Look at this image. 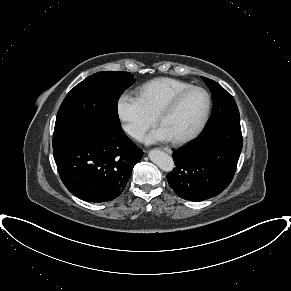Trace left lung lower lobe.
<instances>
[{"instance_id": "left-lung-lower-lobe-1", "label": "left lung lower lobe", "mask_w": 291, "mask_h": 291, "mask_svg": "<svg viewBox=\"0 0 291 291\" xmlns=\"http://www.w3.org/2000/svg\"><path fill=\"white\" fill-rule=\"evenodd\" d=\"M241 150L240 125L217 126L188 146L173 151L176 167L167 175L168 183L184 199L213 197L233 179Z\"/></svg>"}]
</instances>
